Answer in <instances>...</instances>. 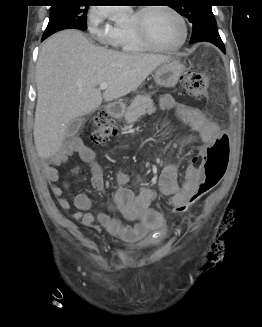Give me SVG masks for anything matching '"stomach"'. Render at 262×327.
I'll return each instance as SVG.
<instances>
[{
  "mask_svg": "<svg viewBox=\"0 0 262 327\" xmlns=\"http://www.w3.org/2000/svg\"><path fill=\"white\" fill-rule=\"evenodd\" d=\"M185 67L177 59H170L161 64L155 71V82L162 87H174L179 81Z\"/></svg>",
  "mask_w": 262,
  "mask_h": 327,
  "instance_id": "obj_1",
  "label": "stomach"
}]
</instances>
